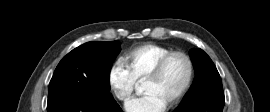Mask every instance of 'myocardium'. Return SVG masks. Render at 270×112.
<instances>
[{"label":"myocardium","mask_w":270,"mask_h":112,"mask_svg":"<svg viewBox=\"0 0 270 112\" xmlns=\"http://www.w3.org/2000/svg\"><path fill=\"white\" fill-rule=\"evenodd\" d=\"M182 57L188 66V75H187V79L182 87V89L180 90V92L169 102L167 103L168 106H175L177 104H179L184 97L187 95V93L189 92L193 80H194V76H195V67H194V63L193 60L191 59V57L183 52V51H171L169 53H167L166 55H164L155 65V67L152 69V71L148 74V76L146 77L145 81H150V80H156L158 79L167 63L173 58V57Z\"/></svg>","instance_id":"1"}]
</instances>
